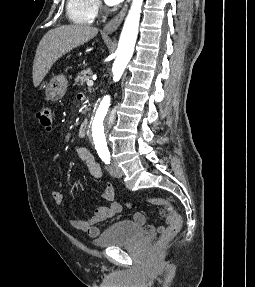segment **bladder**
Masks as SVG:
<instances>
[{"label": "bladder", "mask_w": 255, "mask_h": 287, "mask_svg": "<svg viewBox=\"0 0 255 287\" xmlns=\"http://www.w3.org/2000/svg\"><path fill=\"white\" fill-rule=\"evenodd\" d=\"M145 232V228L134 221L122 220L104 230L94 240V244L101 248L131 244L141 238Z\"/></svg>", "instance_id": "31cf9c89"}]
</instances>
